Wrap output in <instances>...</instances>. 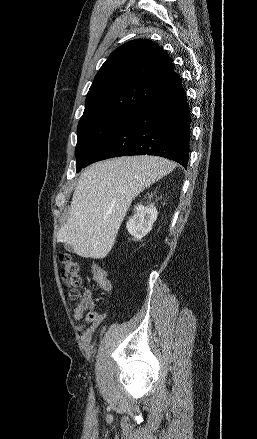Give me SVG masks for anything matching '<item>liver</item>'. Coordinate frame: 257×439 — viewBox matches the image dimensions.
I'll return each mask as SVG.
<instances>
[{"mask_svg": "<svg viewBox=\"0 0 257 439\" xmlns=\"http://www.w3.org/2000/svg\"><path fill=\"white\" fill-rule=\"evenodd\" d=\"M174 168L169 160L148 155L124 156L87 167L57 242L71 245L84 258L106 257L133 199Z\"/></svg>", "mask_w": 257, "mask_h": 439, "instance_id": "1", "label": "liver"}]
</instances>
